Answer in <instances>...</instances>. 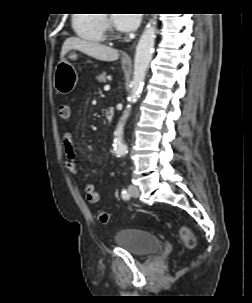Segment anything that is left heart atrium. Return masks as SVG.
<instances>
[{
  "instance_id": "left-heart-atrium-1",
  "label": "left heart atrium",
  "mask_w": 252,
  "mask_h": 303,
  "mask_svg": "<svg viewBox=\"0 0 252 303\" xmlns=\"http://www.w3.org/2000/svg\"><path fill=\"white\" fill-rule=\"evenodd\" d=\"M113 21L118 30L122 32L134 31L140 23L139 14H114Z\"/></svg>"
}]
</instances>
